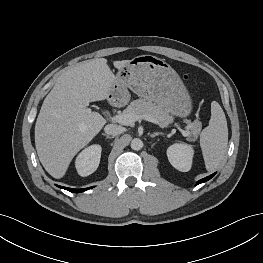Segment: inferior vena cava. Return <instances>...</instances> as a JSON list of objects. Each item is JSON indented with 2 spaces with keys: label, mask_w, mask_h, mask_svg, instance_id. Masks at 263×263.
<instances>
[{
  "label": "inferior vena cava",
  "mask_w": 263,
  "mask_h": 263,
  "mask_svg": "<svg viewBox=\"0 0 263 263\" xmlns=\"http://www.w3.org/2000/svg\"><path fill=\"white\" fill-rule=\"evenodd\" d=\"M104 131L108 135H119L125 131V128L116 124H108L105 126Z\"/></svg>",
  "instance_id": "602c4592"
}]
</instances>
